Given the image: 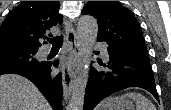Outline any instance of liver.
<instances>
[{
    "label": "liver",
    "instance_id": "obj_1",
    "mask_svg": "<svg viewBox=\"0 0 171 110\" xmlns=\"http://www.w3.org/2000/svg\"><path fill=\"white\" fill-rule=\"evenodd\" d=\"M0 110H51V107L31 81L6 74L0 76Z\"/></svg>",
    "mask_w": 171,
    "mask_h": 110
}]
</instances>
